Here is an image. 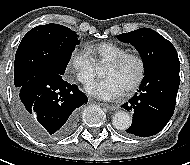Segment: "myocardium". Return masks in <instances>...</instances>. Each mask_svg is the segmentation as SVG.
<instances>
[{
  "label": "myocardium",
  "mask_w": 190,
  "mask_h": 165,
  "mask_svg": "<svg viewBox=\"0 0 190 165\" xmlns=\"http://www.w3.org/2000/svg\"><path fill=\"white\" fill-rule=\"evenodd\" d=\"M129 60H134L137 62L139 66V73L136 80L129 87L125 89L126 93H131L137 90L143 83L147 72L146 62L144 58L138 53H125L108 62V65L118 68L123 66Z\"/></svg>",
  "instance_id": "1"
}]
</instances>
